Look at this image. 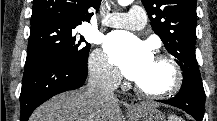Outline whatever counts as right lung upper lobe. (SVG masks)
<instances>
[{"instance_id":"1","label":"right lung upper lobe","mask_w":217,"mask_h":121,"mask_svg":"<svg viewBox=\"0 0 217 121\" xmlns=\"http://www.w3.org/2000/svg\"><path fill=\"white\" fill-rule=\"evenodd\" d=\"M100 3L101 0H34L31 24L45 20L77 25L90 22L93 13L88 9L97 11Z\"/></svg>"}]
</instances>
